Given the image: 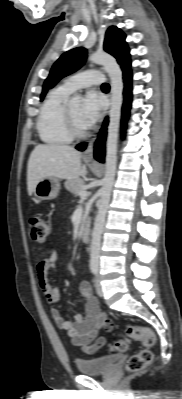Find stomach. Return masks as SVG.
Segmentation results:
<instances>
[{"instance_id":"1","label":"stomach","mask_w":182,"mask_h":399,"mask_svg":"<svg viewBox=\"0 0 182 399\" xmlns=\"http://www.w3.org/2000/svg\"><path fill=\"white\" fill-rule=\"evenodd\" d=\"M59 190V180L53 177H47L37 183L33 193L39 200H51L58 196Z\"/></svg>"}]
</instances>
